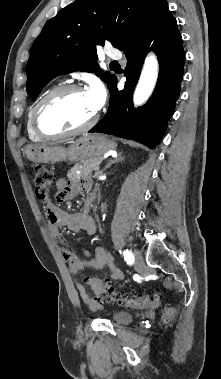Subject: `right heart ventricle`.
<instances>
[{
    "label": "right heart ventricle",
    "mask_w": 221,
    "mask_h": 379,
    "mask_svg": "<svg viewBox=\"0 0 221 379\" xmlns=\"http://www.w3.org/2000/svg\"><path fill=\"white\" fill-rule=\"evenodd\" d=\"M59 86L57 85H53L51 87H49L48 89H46L42 95L38 98V100L30 107L28 113H27V118H26V129H27V133H28V136L30 139L34 140V141H39V140H42L43 137H41L34 129L33 127V123H32V116H33V112H34V109L36 107V105L40 102V100L45 96L47 95L49 92H51L53 89L57 88Z\"/></svg>",
    "instance_id": "1"
}]
</instances>
